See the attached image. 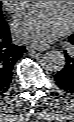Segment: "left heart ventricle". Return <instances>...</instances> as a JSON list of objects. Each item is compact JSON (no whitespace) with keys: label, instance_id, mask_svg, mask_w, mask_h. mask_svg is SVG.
I'll return each instance as SVG.
<instances>
[{"label":"left heart ventricle","instance_id":"left-heart-ventricle-1","mask_svg":"<svg viewBox=\"0 0 74 122\" xmlns=\"http://www.w3.org/2000/svg\"><path fill=\"white\" fill-rule=\"evenodd\" d=\"M45 6L53 5L56 6L60 13L66 18L69 22L72 17V4L71 1H43Z\"/></svg>","mask_w":74,"mask_h":122}]
</instances>
